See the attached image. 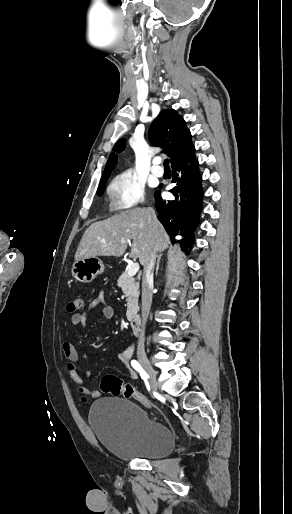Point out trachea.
<instances>
[{"mask_svg":"<svg viewBox=\"0 0 292 514\" xmlns=\"http://www.w3.org/2000/svg\"><path fill=\"white\" fill-rule=\"evenodd\" d=\"M163 165H164V170H170L169 159H165Z\"/></svg>","mask_w":292,"mask_h":514,"instance_id":"1","label":"trachea"}]
</instances>
